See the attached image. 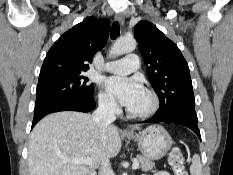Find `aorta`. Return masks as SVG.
Wrapping results in <instances>:
<instances>
[{
	"instance_id": "obj_1",
	"label": "aorta",
	"mask_w": 233,
	"mask_h": 175,
	"mask_svg": "<svg viewBox=\"0 0 233 175\" xmlns=\"http://www.w3.org/2000/svg\"><path fill=\"white\" fill-rule=\"evenodd\" d=\"M136 41L134 39L121 38L111 48L110 54L114 57L134 51Z\"/></svg>"
}]
</instances>
